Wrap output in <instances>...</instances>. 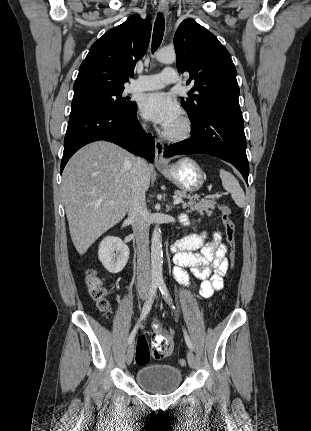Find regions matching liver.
<instances>
[{"instance_id": "1", "label": "liver", "mask_w": 311, "mask_h": 431, "mask_svg": "<svg viewBox=\"0 0 311 431\" xmlns=\"http://www.w3.org/2000/svg\"><path fill=\"white\" fill-rule=\"evenodd\" d=\"M136 162L135 156L110 142L88 144L69 160L61 190L71 239L80 255L126 216ZM141 170L147 192L151 168L146 160Z\"/></svg>"}]
</instances>
